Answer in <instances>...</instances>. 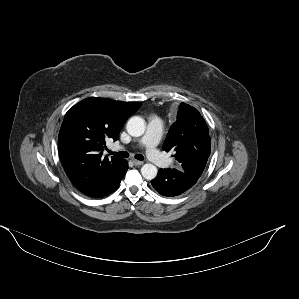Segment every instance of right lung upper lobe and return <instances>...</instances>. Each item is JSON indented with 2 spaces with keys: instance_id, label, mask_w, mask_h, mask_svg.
Listing matches in <instances>:
<instances>
[{
  "instance_id": "obj_1",
  "label": "right lung upper lobe",
  "mask_w": 299,
  "mask_h": 299,
  "mask_svg": "<svg viewBox=\"0 0 299 299\" xmlns=\"http://www.w3.org/2000/svg\"><path fill=\"white\" fill-rule=\"evenodd\" d=\"M142 104L90 97L66 113L58 136L63 168L84 194L96 196L109 185L124 159L102 157L108 138L117 140L125 121Z\"/></svg>"
}]
</instances>
